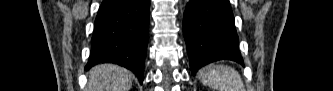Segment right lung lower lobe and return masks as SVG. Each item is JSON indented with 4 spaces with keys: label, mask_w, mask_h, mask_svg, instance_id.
Here are the masks:
<instances>
[{
    "label": "right lung lower lobe",
    "mask_w": 333,
    "mask_h": 91,
    "mask_svg": "<svg viewBox=\"0 0 333 91\" xmlns=\"http://www.w3.org/2000/svg\"><path fill=\"white\" fill-rule=\"evenodd\" d=\"M150 0H104L99 8L86 70L99 63L121 65L143 82Z\"/></svg>",
    "instance_id": "right-lung-lower-lobe-1"
}]
</instances>
